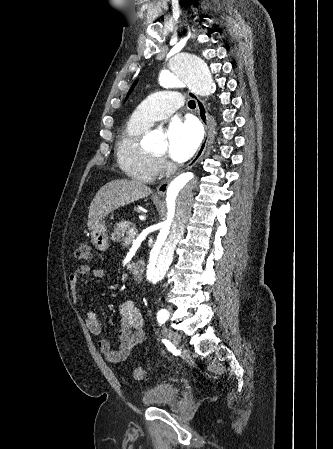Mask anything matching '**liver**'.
Here are the masks:
<instances>
[{"label": "liver", "instance_id": "6515ba94", "mask_svg": "<svg viewBox=\"0 0 333 449\" xmlns=\"http://www.w3.org/2000/svg\"><path fill=\"white\" fill-rule=\"evenodd\" d=\"M151 189L137 181L116 179L100 188L91 202L88 215V229H93L112 211L145 198Z\"/></svg>", "mask_w": 333, "mask_h": 449}]
</instances>
